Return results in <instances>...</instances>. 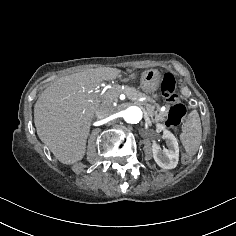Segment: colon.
I'll use <instances>...</instances> for the list:
<instances>
[{
  "label": "colon",
  "instance_id": "obj_1",
  "mask_svg": "<svg viewBox=\"0 0 236 236\" xmlns=\"http://www.w3.org/2000/svg\"><path fill=\"white\" fill-rule=\"evenodd\" d=\"M161 93L171 103L166 120V126H177L186 114L185 105L179 100L176 93V80L171 73L164 75L161 82Z\"/></svg>",
  "mask_w": 236,
  "mask_h": 236
}]
</instances>
